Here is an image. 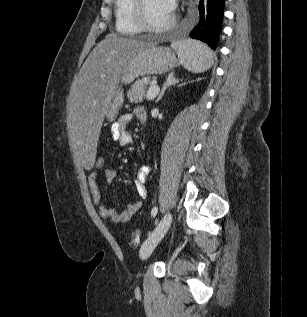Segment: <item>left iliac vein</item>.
Segmentation results:
<instances>
[{
  "mask_svg": "<svg viewBox=\"0 0 307 317\" xmlns=\"http://www.w3.org/2000/svg\"><path fill=\"white\" fill-rule=\"evenodd\" d=\"M172 222V214L170 212L166 213L161 221L158 223L153 232L149 235L146 241L143 243L140 255L142 258H147L158 243L162 240L168 229L170 228Z\"/></svg>",
  "mask_w": 307,
  "mask_h": 317,
  "instance_id": "4c4485c4",
  "label": "left iliac vein"
}]
</instances>
